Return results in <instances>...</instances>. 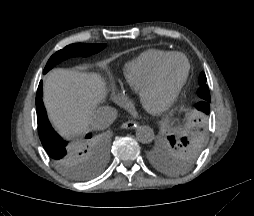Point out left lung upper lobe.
<instances>
[{"label": "left lung upper lobe", "mask_w": 254, "mask_h": 216, "mask_svg": "<svg viewBox=\"0 0 254 216\" xmlns=\"http://www.w3.org/2000/svg\"><path fill=\"white\" fill-rule=\"evenodd\" d=\"M206 81L205 73L202 72L199 77L200 87L197 91L201 101L195 107L205 114H209L210 92ZM199 149V141L189 144L186 137L178 140L174 136H168V142L163 147L152 150L149 153V158L158 169L168 173H177L192 163L199 153Z\"/></svg>", "instance_id": "1"}]
</instances>
